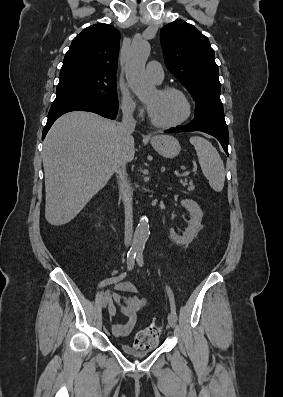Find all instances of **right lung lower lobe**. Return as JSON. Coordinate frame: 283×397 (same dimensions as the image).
<instances>
[{"label": "right lung lower lobe", "mask_w": 283, "mask_h": 397, "mask_svg": "<svg viewBox=\"0 0 283 397\" xmlns=\"http://www.w3.org/2000/svg\"><path fill=\"white\" fill-rule=\"evenodd\" d=\"M77 110L90 111L97 113L103 117L114 119L118 111V106L103 105L94 101L84 99H66L58 101L54 100L48 114L47 123L43 130L42 140L45 138L47 132L57 118H59L64 113Z\"/></svg>", "instance_id": "98d812e1"}]
</instances>
